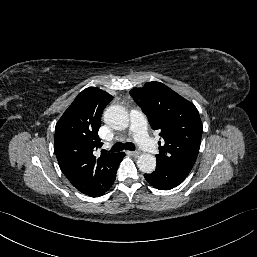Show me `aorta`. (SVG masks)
<instances>
[{"label":"aorta","instance_id":"1","mask_svg":"<svg viewBox=\"0 0 257 257\" xmlns=\"http://www.w3.org/2000/svg\"><path fill=\"white\" fill-rule=\"evenodd\" d=\"M104 122L113 129L124 130L129 125L128 112L119 105L109 106L104 112ZM137 166L144 173H152L156 168V158L151 154H141Z\"/></svg>","mask_w":257,"mask_h":257}]
</instances>
